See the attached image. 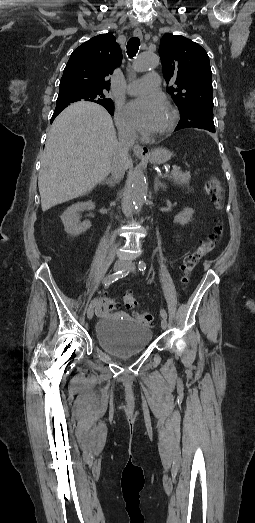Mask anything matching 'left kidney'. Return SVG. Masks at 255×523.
<instances>
[{"label":"left kidney","mask_w":255,"mask_h":523,"mask_svg":"<svg viewBox=\"0 0 255 523\" xmlns=\"http://www.w3.org/2000/svg\"><path fill=\"white\" fill-rule=\"evenodd\" d=\"M192 214H194L192 208H184L183 212L175 216L174 222H178V224H188L192 218Z\"/></svg>","instance_id":"obj_1"}]
</instances>
